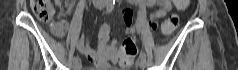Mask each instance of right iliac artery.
I'll use <instances>...</instances> for the list:
<instances>
[{
	"instance_id": "82829eb1",
	"label": "right iliac artery",
	"mask_w": 238,
	"mask_h": 70,
	"mask_svg": "<svg viewBox=\"0 0 238 70\" xmlns=\"http://www.w3.org/2000/svg\"><path fill=\"white\" fill-rule=\"evenodd\" d=\"M115 0H107L106 12L110 13L114 8ZM79 61V57H74L73 62Z\"/></svg>"
}]
</instances>
